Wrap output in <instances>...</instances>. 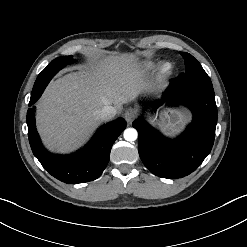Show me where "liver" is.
Instances as JSON below:
<instances>
[{"label":"liver","mask_w":247,"mask_h":247,"mask_svg":"<svg viewBox=\"0 0 247 247\" xmlns=\"http://www.w3.org/2000/svg\"><path fill=\"white\" fill-rule=\"evenodd\" d=\"M151 90L134 54L108 56L52 82L36 103L38 132L48 149L68 153L100 124L104 106L122 105Z\"/></svg>","instance_id":"liver-1"}]
</instances>
